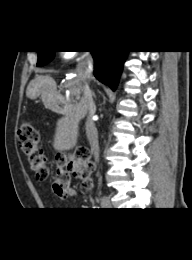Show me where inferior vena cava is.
<instances>
[{
    "instance_id": "inferior-vena-cava-1",
    "label": "inferior vena cava",
    "mask_w": 192,
    "mask_h": 260,
    "mask_svg": "<svg viewBox=\"0 0 192 260\" xmlns=\"http://www.w3.org/2000/svg\"><path fill=\"white\" fill-rule=\"evenodd\" d=\"M93 71V58L89 53L84 54L83 59L77 64L76 72L83 85V98L86 103V107L91 116L95 112V104L92 98V92L89 87V82L91 79ZM86 134L91 146V151L98 161L99 158V146H98V136L96 132L95 125L93 121L88 117L86 121Z\"/></svg>"
}]
</instances>
